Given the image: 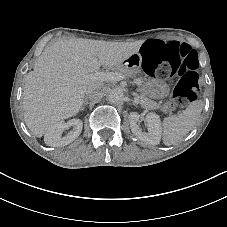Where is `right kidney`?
Segmentation results:
<instances>
[{
	"label": "right kidney",
	"instance_id": "obj_1",
	"mask_svg": "<svg viewBox=\"0 0 227 227\" xmlns=\"http://www.w3.org/2000/svg\"><path fill=\"white\" fill-rule=\"evenodd\" d=\"M73 127L67 135L62 137L64 130ZM83 122L80 119H72L67 123L60 121L49 127L44 135V142L51 147H61L72 143L81 134Z\"/></svg>",
	"mask_w": 227,
	"mask_h": 227
}]
</instances>
